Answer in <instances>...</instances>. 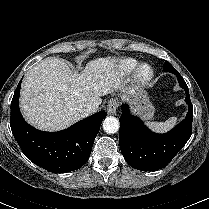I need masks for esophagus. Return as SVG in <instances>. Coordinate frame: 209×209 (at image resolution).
Here are the masks:
<instances>
[{
    "label": "esophagus",
    "mask_w": 209,
    "mask_h": 209,
    "mask_svg": "<svg viewBox=\"0 0 209 209\" xmlns=\"http://www.w3.org/2000/svg\"><path fill=\"white\" fill-rule=\"evenodd\" d=\"M118 106H119V100H118V98H112L108 102V105H107V113L109 115L115 114Z\"/></svg>",
    "instance_id": "obj_1"
}]
</instances>
